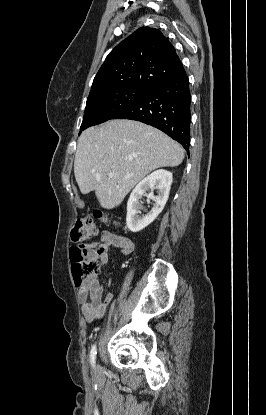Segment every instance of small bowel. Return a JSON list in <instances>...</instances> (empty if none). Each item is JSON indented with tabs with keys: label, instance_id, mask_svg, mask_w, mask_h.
Wrapping results in <instances>:
<instances>
[{
	"label": "small bowel",
	"instance_id": "obj_1",
	"mask_svg": "<svg viewBox=\"0 0 266 415\" xmlns=\"http://www.w3.org/2000/svg\"><path fill=\"white\" fill-rule=\"evenodd\" d=\"M111 247L118 248L123 255H129L133 252L135 245L130 238L105 230L98 242L86 244L84 249L89 259L104 266L110 260L109 249ZM78 297L84 317L92 322L104 316L114 295L107 293L103 298V286L94 275L78 287Z\"/></svg>",
	"mask_w": 266,
	"mask_h": 415
}]
</instances>
